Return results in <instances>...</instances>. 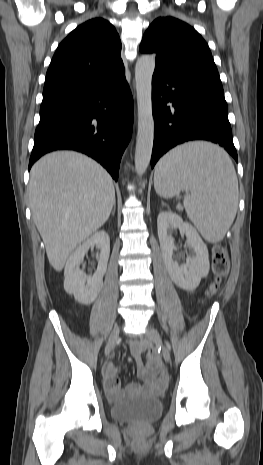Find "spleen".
I'll return each mask as SVG.
<instances>
[{"instance_id": "1", "label": "spleen", "mask_w": 263, "mask_h": 465, "mask_svg": "<svg viewBox=\"0 0 263 465\" xmlns=\"http://www.w3.org/2000/svg\"><path fill=\"white\" fill-rule=\"evenodd\" d=\"M154 188L163 198L190 191L183 202L187 216L209 242L221 241L236 216L238 180L233 163L211 143L184 144L163 156L155 169Z\"/></svg>"}]
</instances>
